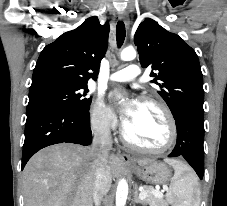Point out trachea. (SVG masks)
I'll list each match as a JSON object with an SVG mask.
<instances>
[{
    "instance_id": "trachea-1",
    "label": "trachea",
    "mask_w": 227,
    "mask_h": 206,
    "mask_svg": "<svg viewBox=\"0 0 227 206\" xmlns=\"http://www.w3.org/2000/svg\"><path fill=\"white\" fill-rule=\"evenodd\" d=\"M125 25L123 21H118L116 26V39L118 47H121L125 40Z\"/></svg>"
}]
</instances>
